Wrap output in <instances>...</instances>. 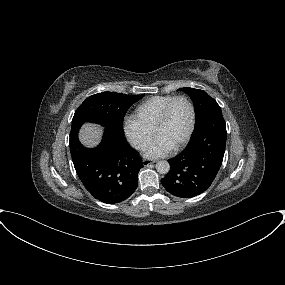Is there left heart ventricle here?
<instances>
[{
    "label": "left heart ventricle",
    "mask_w": 285,
    "mask_h": 285,
    "mask_svg": "<svg viewBox=\"0 0 285 285\" xmlns=\"http://www.w3.org/2000/svg\"><path fill=\"white\" fill-rule=\"evenodd\" d=\"M190 119V109L187 103L178 100L171 107L165 123L158 130L156 136L174 147L185 137L190 126Z\"/></svg>",
    "instance_id": "b2bd125f"
}]
</instances>
